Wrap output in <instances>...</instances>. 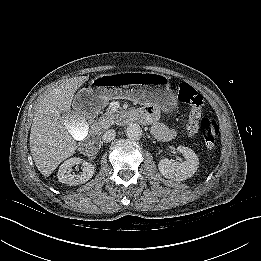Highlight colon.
I'll return each instance as SVG.
<instances>
[{"instance_id":"1","label":"colon","mask_w":261,"mask_h":261,"mask_svg":"<svg viewBox=\"0 0 261 261\" xmlns=\"http://www.w3.org/2000/svg\"><path fill=\"white\" fill-rule=\"evenodd\" d=\"M176 91L179 99L191 107L187 125L188 134L195 136L201 130L206 149L213 150L219 136V126L214 120L202 117L203 96L187 83L178 84Z\"/></svg>"}]
</instances>
